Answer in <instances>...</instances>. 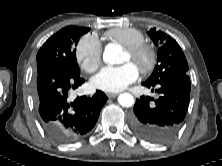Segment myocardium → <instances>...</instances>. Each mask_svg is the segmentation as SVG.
I'll use <instances>...</instances> for the list:
<instances>
[{
    "instance_id": "1",
    "label": "myocardium",
    "mask_w": 222,
    "mask_h": 166,
    "mask_svg": "<svg viewBox=\"0 0 222 166\" xmlns=\"http://www.w3.org/2000/svg\"><path fill=\"white\" fill-rule=\"evenodd\" d=\"M125 51L131 58L141 60V64L138 67L141 72L146 73L153 68L155 64V53L149 45L140 43L125 47Z\"/></svg>"
}]
</instances>
